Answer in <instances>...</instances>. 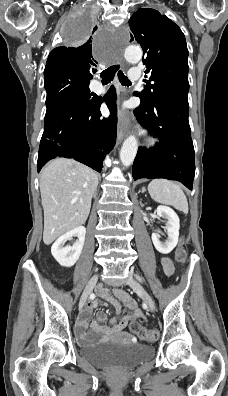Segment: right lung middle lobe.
<instances>
[{"label": "right lung middle lobe", "mask_w": 228, "mask_h": 396, "mask_svg": "<svg viewBox=\"0 0 228 396\" xmlns=\"http://www.w3.org/2000/svg\"><path fill=\"white\" fill-rule=\"evenodd\" d=\"M75 24L80 26V34L75 39L81 42L88 38L92 31V23L88 17L81 15L75 19ZM96 27H94L93 32ZM90 80L81 78L74 74H56L44 76V85L47 92L46 107L47 111L52 110L61 102L71 99H89L91 98L89 90Z\"/></svg>", "instance_id": "obj_1"}]
</instances>
